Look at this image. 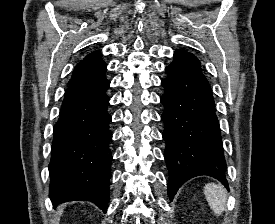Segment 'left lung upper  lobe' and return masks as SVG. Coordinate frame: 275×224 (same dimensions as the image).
Returning <instances> with one entry per match:
<instances>
[{
    "label": "left lung upper lobe",
    "instance_id": "1",
    "mask_svg": "<svg viewBox=\"0 0 275 224\" xmlns=\"http://www.w3.org/2000/svg\"><path fill=\"white\" fill-rule=\"evenodd\" d=\"M166 69L171 71L200 70L201 64L192 53L183 50H176L174 52L173 62L167 66Z\"/></svg>",
    "mask_w": 275,
    "mask_h": 224
}]
</instances>
